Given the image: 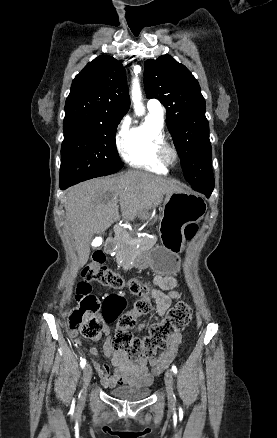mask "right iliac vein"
<instances>
[{
  "mask_svg": "<svg viewBox=\"0 0 277 438\" xmlns=\"http://www.w3.org/2000/svg\"><path fill=\"white\" fill-rule=\"evenodd\" d=\"M91 377H92V368H91L90 364H87L83 370V394L84 395L86 394Z\"/></svg>",
  "mask_w": 277,
  "mask_h": 438,
  "instance_id": "1",
  "label": "right iliac vein"
}]
</instances>
